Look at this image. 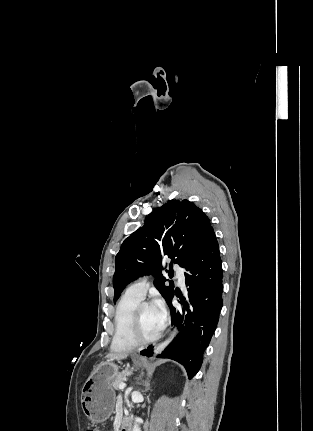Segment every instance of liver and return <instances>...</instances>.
Segmentation results:
<instances>
[{"instance_id": "1", "label": "liver", "mask_w": 313, "mask_h": 431, "mask_svg": "<svg viewBox=\"0 0 313 431\" xmlns=\"http://www.w3.org/2000/svg\"><path fill=\"white\" fill-rule=\"evenodd\" d=\"M128 354L126 353H110L106 356L107 360H123L126 359Z\"/></svg>"}]
</instances>
